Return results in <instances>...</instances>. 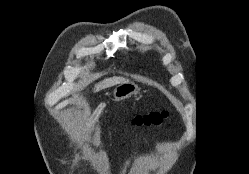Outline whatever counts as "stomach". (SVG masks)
Here are the masks:
<instances>
[{
  "instance_id": "obj_1",
  "label": "stomach",
  "mask_w": 249,
  "mask_h": 174,
  "mask_svg": "<svg viewBox=\"0 0 249 174\" xmlns=\"http://www.w3.org/2000/svg\"><path fill=\"white\" fill-rule=\"evenodd\" d=\"M140 88L132 82H124L116 86L113 91V97L116 101L124 100L133 94H137Z\"/></svg>"
}]
</instances>
